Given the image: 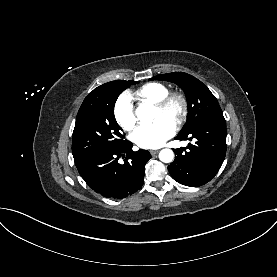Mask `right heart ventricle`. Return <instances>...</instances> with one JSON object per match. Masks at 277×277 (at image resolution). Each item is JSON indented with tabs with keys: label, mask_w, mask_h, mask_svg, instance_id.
Returning <instances> with one entry per match:
<instances>
[{
	"label": "right heart ventricle",
	"mask_w": 277,
	"mask_h": 277,
	"mask_svg": "<svg viewBox=\"0 0 277 277\" xmlns=\"http://www.w3.org/2000/svg\"><path fill=\"white\" fill-rule=\"evenodd\" d=\"M169 93V88L159 82L147 83L134 91V97L143 103L155 104Z\"/></svg>",
	"instance_id": "obj_1"
}]
</instances>
